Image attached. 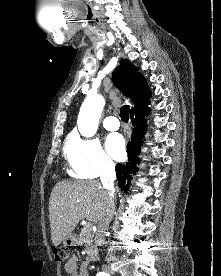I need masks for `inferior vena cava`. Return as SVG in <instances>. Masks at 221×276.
Here are the masks:
<instances>
[{
  "instance_id": "obj_1",
  "label": "inferior vena cava",
  "mask_w": 221,
  "mask_h": 276,
  "mask_svg": "<svg viewBox=\"0 0 221 276\" xmlns=\"http://www.w3.org/2000/svg\"><path fill=\"white\" fill-rule=\"evenodd\" d=\"M116 178L114 163H106L101 174V182L103 187L108 191V201L105 213L99 220L95 233V245L102 246L105 243V233L113 219L115 211V187L114 181Z\"/></svg>"
}]
</instances>
